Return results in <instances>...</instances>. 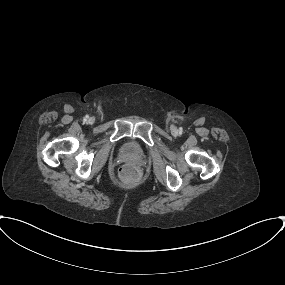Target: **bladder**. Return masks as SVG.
<instances>
[{
    "label": "bladder",
    "mask_w": 285,
    "mask_h": 285,
    "mask_svg": "<svg viewBox=\"0 0 285 285\" xmlns=\"http://www.w3.org/2000/svg\"><path fill=\"white\" fill-rule=\"evenodd\" d=\"M122 153L129 157H136L139 155V150L136 144L132 140H129L123 145Z\"/></svg>",
    "instance_id": "obj_1"
}]
</instances>
